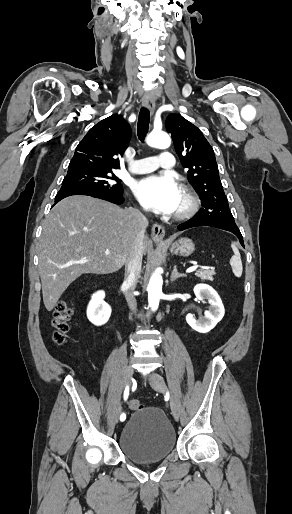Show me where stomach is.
Returning <instances> with one entry per match:
<instances>
[{"instance_id":"obj_1","label":"stomach","mask_w":292,"mask_h":514,"mask_svg":"<svg viewBox=\"0 0 292 514\" xmlns=\"http://www.w3.org/2000/svg\"><path fill=\"white\" fill-rule=\"evenodd\" d=\"M155 244H164V242H155ZM194 250L195 246L189 238H181L178 242H174L170 248V252L177 254V256H190Z\"/></svg>"}]
</instances>
